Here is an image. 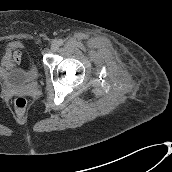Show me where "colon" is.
<instances>
[{"label":"colon","mask_w":172,"mask_h":172,"mask_svg":"<svg viewBox=\"0 0 172 172\" xmlns=\"http://www.w3.org/2000/svg\"><path fill=\"white\" fill-rule=\"evenodd\" d=\"M15 108L18 112H23L26 109V100L24 98H18L15 101Z\"/></svg>","instance_id":"5ec220e1"}]
</instances>
